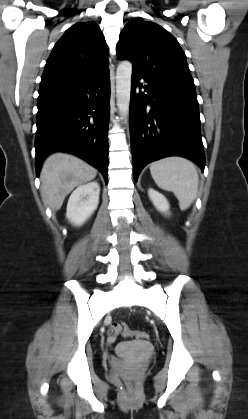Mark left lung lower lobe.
<instances>
[{"mask_svg": "<svg viewBox=\"0 0 248 419\" xmlns=\"http://www.w3.org/2000/svg\"><path fill=\"white\" fill-rule=\"evenodd\" d=\"M130 137L135 181L148 163L172 155L186 157L204 169L198 101L193 89L133 71Z\"/></svg>", "mask_w": 248, "mask_h": 419, "instance_id": "left-lung-lower-lobe-1", "label": "left lung lower lobe"}]
</instances>
